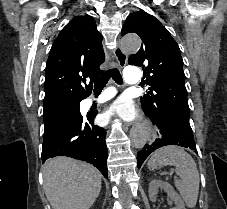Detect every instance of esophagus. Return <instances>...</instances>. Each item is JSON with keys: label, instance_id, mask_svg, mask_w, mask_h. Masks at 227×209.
Wrapping results in <instances>:
<instances>
[{"label": "esophagus", "instance_id": "obj_1", "mask_svg": "<svg viewBox=\"0 0 227 209\" xmlns=\"http://www.w3.org/2000/svg\"><path fill=\"white\" fill-rule=\"evenodd\" d=\"M114 55L116 57V60L118 62L119 67L122 69L125 67L128 59L127 53H125L119 43V39L117 41V46L114 49ZM142 121L143 125L142 128H147L146 131L149 133V137H146V142L151 146L153 143H155V138H156V133H155V128L152 125V120H138Z\"/></svg>", "mask_w": 227, "mask_h": 209}]
</instances>
